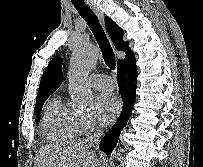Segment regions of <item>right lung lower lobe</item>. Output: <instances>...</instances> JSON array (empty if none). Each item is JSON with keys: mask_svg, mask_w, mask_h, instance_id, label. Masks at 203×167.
I'll return each mask as SVG.
<instances>
[{"mask_svg": "<svg viewBox=\"0 0 203 167\" xmlns=\"http://www.w3.org/2000/svg\"><path fill=\"white\" fill-rule=\"evenodd\" d=\"M136 65L135 62L117 69V83L123 101L122 113L113 127L105 134L99 147L110 155L115 148L119 135L125 127L132 111L136 96Z\"/></svg>", "mask_w": 203, "mask_h": 167, "instance_id": "right-lung-lower-lobe-1", "label": "right lung lower lobe"}]
</instances>
